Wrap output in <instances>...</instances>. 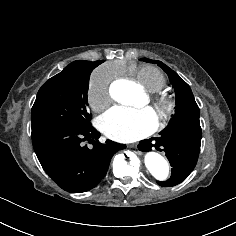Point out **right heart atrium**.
<instances>
[{"instance_id": "right-heart-atrium-1", "label": "right heart atrium", "mask_w": 236, "mask_h": 236, "mask_svg": "<svg viewBox=\"0 0 236 236\" xmlns=\"http://www.w3.org/2000/svg\"><path fill=\"white\" fill-rule=\"evenodd\" d=\"M114 78L115 74L108 66H101L91 74L88 97L95 110H105L111 104V84Z\"/></svg>"}]
</instances>
